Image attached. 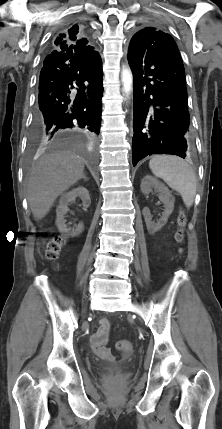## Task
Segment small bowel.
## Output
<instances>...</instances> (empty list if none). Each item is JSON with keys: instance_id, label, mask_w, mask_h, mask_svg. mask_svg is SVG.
I'll return each mask as SVG.
<instances>
[{"instance_id": "c3829d8e", "label": "small bowel", "mask_w": 222, "mask_h": 429, "mask_svg": "<svg viewBox=\"0 0 222 429\" xmlns=\"http://www.w3.org/2000/svg\"><path fill=\"white\" fill-rule=\"evenodd\" d=\"M110 323L107 319L100 321L96 332L90 337V345L93 352L100 358L112 360L114 358L112 351L107 347L109 342Z\"/></svg>"}]
</instances>
